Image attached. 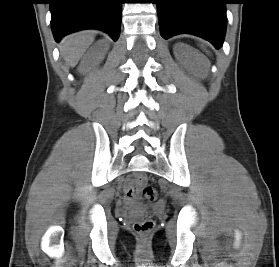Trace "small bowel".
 <instances>
[{
	"mask_svg": "<svg viewBox=\"0 0 279 267\" xmlns=\"http://www.w3.org/2000/svg\"><path fill=\"white\" fill-rule=\"evenodd\" d=\"M138 187L137 179L132 180L127 186V196L128 198H133L136 195V189ZM135 191V192H134Z\"/></svg>",
	"mask_w": 279,
	"mask_h": 267,
	"instance_id": "1",
	"label": "small bowel"
}]
</instances>
